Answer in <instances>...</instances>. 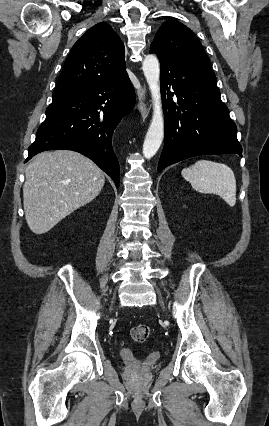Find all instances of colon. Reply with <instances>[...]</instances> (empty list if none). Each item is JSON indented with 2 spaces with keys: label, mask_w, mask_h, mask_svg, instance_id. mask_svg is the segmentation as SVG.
<instances>
[{
  "label": "colon",
  "mask_w": 269,
  "mask_h": 426,
  "mask_svg": "<svg viewBox=\"0 0 269 426\" xmlns=\"http://www.w3.org/2000/svg\"><path fill=\"white\" fill-rule=\"evenodd\" d=\"M151 335V329L146 324H137L131 330V336L137 343H146Z\"/></svg>",
  "instance_id": "obj_1"
}]
</instances>
